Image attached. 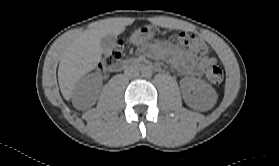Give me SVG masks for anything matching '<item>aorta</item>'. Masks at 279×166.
I'll use <instances>...</instances> for the list:
<instances>
[{
    "mask_svg": "<svg viewBox=\"0 0 279 166\" xmlns=\"http://www.w3.org/2000/svg\"><path fill=\"white\" fill-rule=\"evenodd\" d=\"M152 74H153V72L149 67H144L141 70V75L144 78H150V77H152Z\"/></svg>",
    "mask_w": 279,
    "mask_h": 166,
    "instance_id": "aorta-1",
    "label": "aorta"
}]
</instances>
